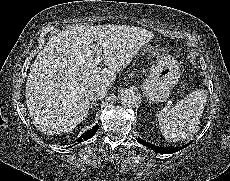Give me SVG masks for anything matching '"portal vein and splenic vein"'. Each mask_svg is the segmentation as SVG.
I'll return each mask as SVG.
<instances>
[{
    "label": "portal vein and splenic vein",
    "instance_id": "obj_1",
    "mask_svg": "<svg viewBox=\"0 0 230 181\" xmlns=\"http://www.w3.org/2000/svg\"><path fill=\"white\" fill-rule=\"evenodd\" d=\"M94 61H95L96 64H99L102 61L101 56L97 55Z\"/></svg>",
    "mask_w": 230,
    "mask_h": 181
}]
</instances>
